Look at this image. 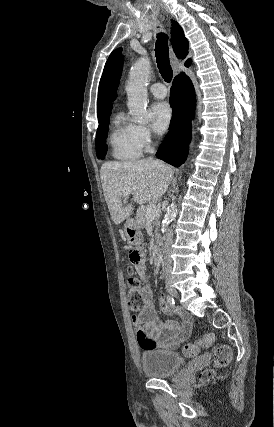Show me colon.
Wrapping results in <instances>:
<instances>
[{
	"label": "colon",
	"instance_id": "1",
	"mask_svg": "<svg viewBox=\"0 0 274 427\" xmlns=\"http://www.w3.org/2000/svg\"><path fill=\"white\" fill-rule=\"evenodd\" d=\"M144 258V247L137 246L130 252L132 263H139L140 259ZM129 295L127 306L130 310H137L142 303V289L135 276L128 278ZM213 344L212 333H202L195 341L186 343L183 346V355L186 358L193 356L200 348L206 349ZM233 358L232 349L227 345H219L214 354V362L217 367H227L230 365ZM212 376L211 370H206L203 373L205 379H210Z\"/></svg>",
	"mask_w": 274,
	"mask_h": 427
}]
</instances>
